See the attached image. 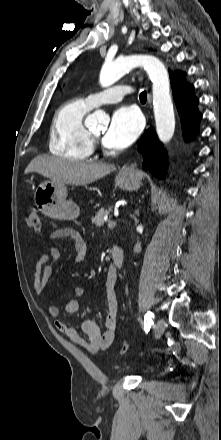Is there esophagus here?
Masks as SVG:
<instances>
[{"instance_id":"esophagus-1","label":"esophagus","mask_w":221,"mask_h":440,"mask_svg":"<svg viewBox=\"0 0 221 440\" xmlns=\"http://www.w3.org/2000/svg\"><path fill=\"white\" fill-rule=\"evenodd\" d=\"M147 103H148V107H151V95L149 93H148V97H147ZM138 170H139V167L136 162L128 164L123 168L124 172L132 173V174L136 173Z\"/></svg>"}]
</instances>
